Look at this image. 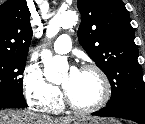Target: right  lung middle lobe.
Wrapping results in <instances>:
<instances>
[{
    "label": "right lung middle lobe",
    "mask_w": 145,
    "mask_h": 124,
    "mask_svg": "<svg viewBox=\"0 0 145 124\" xmlns=\"http://www.w3.org/2000/svg\"><path fill=\"white\" fill-rule=\"evenodd\" d=\"M26 58L0 55V92H23Z\"/></svg>",
    "instance_id": "dd1d6c3e"
}]
</instances>
